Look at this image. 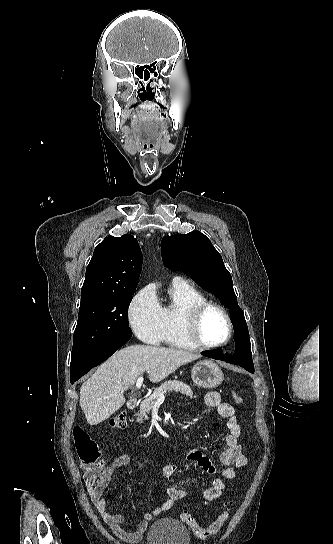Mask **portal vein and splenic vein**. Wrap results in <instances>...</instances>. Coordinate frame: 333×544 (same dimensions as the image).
Returning <instances> with one entry per match:
<instances>
[{"label": "portal vein and splenic vein", "instance_id": "1", "mask_svg": "<svg viewBox=\"0 0 333 544\" xmlns=\"http://www.w3.org/2000/svg\"><path fill=\"white\" fill-rule=\"evenodd\" d=\"M142 383H143V377L140 376V377L137 379L136 387H137L138 389H140V388L142 387ZM164 399H165V395H164V394H161V395L159 396V398H158V401H159V402H163Z\"/></svg>", "mask_w": 333, "mask_h": 544}]
</instances>
